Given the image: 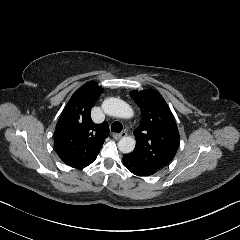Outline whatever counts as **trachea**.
Segmentation results:
<instances>
[{
  "instance_id": "1",
  "label": "trachea",
  "mask_w": 240,
  "mask_h": 240,
  "mask_svg": "<svg viewBox=\"0 0 240 240\" xmlns=\"http://www.w3.org/2000/svg\"><path fill=\"white\" fill-rule=\"evenodd\" d=\"M123 129L122 124L119 121H115L111 125V131L115 133H120Z\"/></svg>"
}]
</instances>
